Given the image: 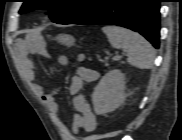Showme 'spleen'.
Masks as SVG:
<instances>
[{"label": "spleen", "instance_id": "3e777b00", "mask_svg": "<svg viewBox=\"0 0 182 140\" xmlns=\"http://www.w3.org/2000/svg\"><path fill=\"white\" fill-rule=\"evenodd\" d=\"M114 48H122L127 53V61L139 69L153 67L155 51L152 45L140 34L118 26L102 28Z\"/></svg>", "mask_w": 182, "mask_h": 140}]
</instances>
